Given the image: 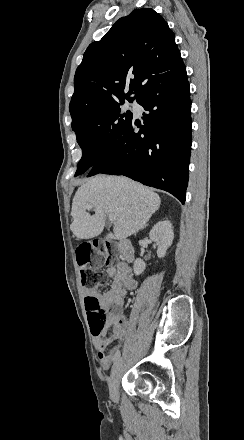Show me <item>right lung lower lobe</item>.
Returning a JSON list of instances; mask_svg holds the SVG:
<instances>
[{
    "instance_id": "98d812e1",
    "label": "right lung lower lobe",
    "mask_w": 244,
    "mask_h": 440,
    "mask_svg": "<svg viewBox=\"0 0 244 440\" xmlns=\"http://www.w3.org/2000/svg\"><path fill=\"white\" fill-rule=\"evenodd\" d=\"M147 111L134 119L91 167L165 190L184 204L191 151V101L184 63L161 69L136 98ZM139 128V130H138Z\"/></svg>"
}]
</instances>
